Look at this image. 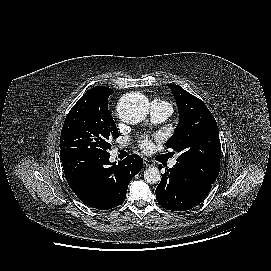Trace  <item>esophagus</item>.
<instances>
[{
  "label": "esophagus",
  "instance_id": "34e87169",
  "mask_svg": "<svg viewBox=\"0 0 271 271\" xmlns=\"http://www.w3.org/2000/svg\"><path fill=\"white\" fill-rule=\"evenodd\" d=\"M144 164L147 166V167H151V166H154V163L149 160V159H144Z\"/></svg>",
  "mask_w": 271,
  "mask_h": 271
}]
</instances>
